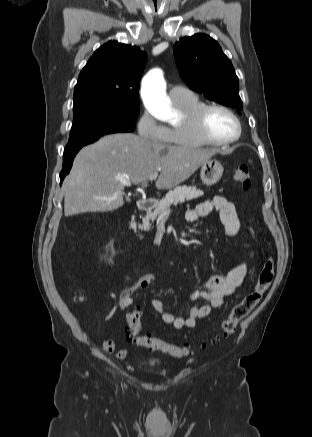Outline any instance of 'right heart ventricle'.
I'll return each instance as SVG.
<instances>
[{
  "mask_svg": "<svg viewBox=\"0 0 312 437\" xmlns=\"http://www.w3.org/2000/svg\"><path fill=\"white\" fill-rule=\"evenodd\" d=\"M174 105L182 112L183 119L179 124L173 125L168 129L167 138L165 143L168 145L183 147V148H195L203 145L192 134L186 123V118L196 109L204 105L199 98L193 94L185 100L174 102Z\"/></svg>",
  "mask_w": 312,
  "mask_h": 437,
  "instance_id": "e07e8e85",
  "label": "right heart ventricle"
}]
</instances>
